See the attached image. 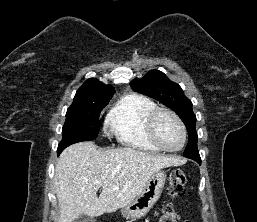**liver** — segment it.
Instances as JSON below:
<instances>
[{
	"mask_svg": "<svg viewBox=\"0 0 257 222\" xmlns=\"http://www.w3.org/2000/svg\"><path fill=\"white\" fill-rule=\"evenodd\" d=\"M184 163L178 157L151 155L134 148L101 151L93 142L71 145L61 153L55 168L58 222L114 212L135 199L155 172Z\"/></svg>",
	"mask_w": 257,
	"mask_h": 222,
	"instance_id": "liver-1",
	"label": "liver"
}]
</instances>
